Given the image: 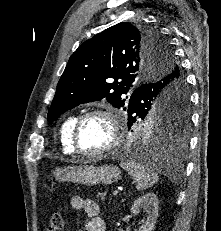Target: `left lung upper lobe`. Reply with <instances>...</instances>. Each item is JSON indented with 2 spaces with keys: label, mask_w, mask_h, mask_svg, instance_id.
<instances>
[{
  "label": "left lung upper lobe",
  "mask_w": 221,
  "mask_h": 231,
  "mask_svg": "<svg viewBox=\"0 0 221 231\" xmlns=\"http://www.w3.org/2000/svg\"><path fill=\"white\" fill-rule=\"evenodd\" d=\"M174 72L177 77L169 84L175 83L177 87L171 93H150L140 105H133L131 101L126 105L128 97L124 95L139 83L157 82ZM182 80H185L183 73L175 63L169 43L157 29L121 22L85 41L71 55L58 82L47 120L54 121L79 104L106 98L114 107L127 110L128 120L132 118L136 122L146 116H156L154 132L167 128L184 133L189 124V97L186 87L179 85ZM173 94L184 100V104L174 107Z\"/></svg>",
  "instance_id": "5c2ea615"
}]
</instances>
